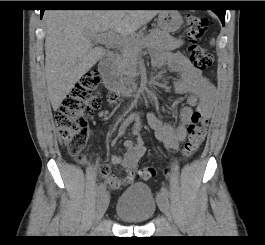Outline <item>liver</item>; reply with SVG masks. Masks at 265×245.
Returning <instances> with one entry per match:
<instances>
[{
  "instance_id": "6515ba94",
  "label": "liver",
  "mask_w": 265,
  "mask_h": 245,
  "mask_svg": "<svg viewBox=\"0 0 265 245\" xmlns=\"http://www.w3.org/2000/svg\"><path fill=\"white\" fill-rule=\"evenodd\" d=\"M159 10H48L46 24L45 76L47 94L56 111L74 85L102 57L94 47L93 34L114 31L122 36L136 32Z\"/></svg>"
}]
</instances>
